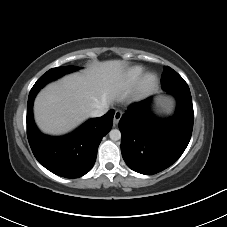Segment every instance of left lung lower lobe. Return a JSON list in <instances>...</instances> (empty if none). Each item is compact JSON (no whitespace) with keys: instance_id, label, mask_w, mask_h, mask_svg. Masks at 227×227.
I'll return each instance as SVG.
<instances>
[{"instance_id":"left-lung-lower-lobe-1","label":"left lung lower lobe","mask_w":227,"mask_h":227,"mask_svg":"<svg viewBox=\"0 0 227 227\" xmlns=\"http://www.w3.org/2000/svg\"><path fill=\"white\" fill-rule=\"evenodd\" d=\"M177 100L175 114L159 119L150 111L151 97L132 103L121 117V152L134 171L152 175L171 166L183 154L193 130L190 90H168Z\"/></svg>"}]
</instances>
